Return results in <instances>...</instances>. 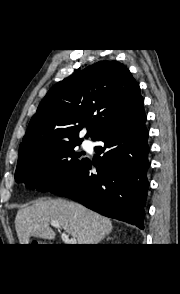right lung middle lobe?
Returning <instances> with one entry per match:
<instances>
[{
	"label": "right lung middle lobe",
	"mask_w": 180,
	"mask_h": 294,
	"mask_svg": "<svg viewBox=\"0 0 180 294\" xmlns=\"http://www.w3.org/2000/svg\"><path fill=\"white\" fill-rule=\"evenodd\" d=\"M72 142L38 150L27 159L18 162L15 180L26 182L27 188L51 191L69 181L88 160L81 158Z\"/></svg>",
	"instance_id": "1"
}]
</instances>
